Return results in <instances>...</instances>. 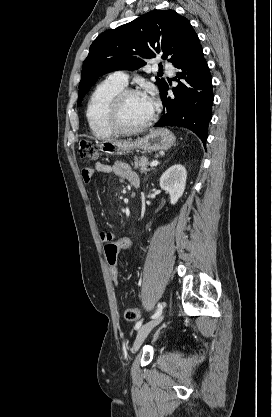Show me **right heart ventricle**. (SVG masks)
I'll return each mask as SVG.
<instances>
[{
  "label": "right heart ventricle",
  "mask_w": 272,
  "mask_h": 417,
  "mask_svg": "<svg viewBox=\"0 0 272 417\" xmlns=\"http://www.w3.org/2000/svg\"><path fill=\"white\" fill-rule=\"evenodd\" d=\"M124 88L125 86L109 77L99 83L91 93L87 103L86 117L96 137L107 139L115 134L107 123V111L113 97Z\"/></svg>",
  "instance_id": "obj_1"
}]
</instances>
